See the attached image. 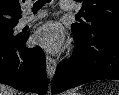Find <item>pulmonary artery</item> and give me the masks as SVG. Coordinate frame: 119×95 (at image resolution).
<instances>
[{
  "mask_svg": "<svg viewBox=\"0 0 119 95\" xmlns=\"http://www.w3.org/2000/svg\"><path fill=\"white\" fill-rule=\"evenodd\" d=\"M60 7H61V9L64 10V11H71V10L74 9L73 4H72L71 2H69V1H66V0L60 2ZM44 15H45V14H44L43 12H39V13H37V14H29V13H27V14L24 15V17L21 19L20 25H21V26H25V25H27V24H30V23H32V22H34V21H36V20L42 18Z\"/></svg>",
  "mask_w": 119,
  "mask_h": 95,
  "instance_id": "e3ab8cb5",
  "label": "pulmonary artery"
}]
</instances>
